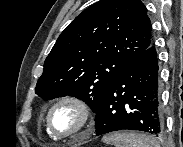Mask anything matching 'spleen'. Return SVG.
<instances>
[{
	"instance_id": "1",
	"label": "spleen",
	"mask_w": 183,
	"mask_h": 147,
	"mask_svg": "<svg viewBox=\"0 0 183 147\" xmlns=\"http://www.w3.org/2000/svg\"><path fill=\"white\" fill-rule=\"evenodd\" d=\"M103 142L115 147H160L154 138L135 132H114L104 136Z\"/></svg>"
}]
</instances>
